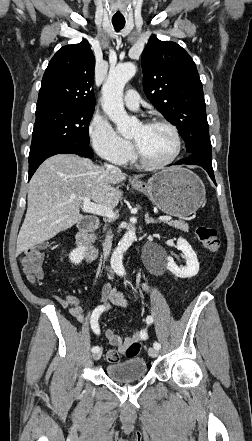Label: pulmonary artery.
I'll return each instance as SVG.
<instances>
[{
	"label": "pulmonary artery",
	"mask_w": 252,
	"mask_h": 441,
	"mask_svg": "<svg viewBox=\"0 0 252 441\" xmlns=\"http://www.w3.org/2000/svg\"><path fill=\"white\" fill-rule=\"evenodd\" d=\"M140 97L136 90L130 89L124 97V104L132 110H137L140 107Z\"/></svg>",
	"instance_id": "pulmonary-artery-1"
}]
</instances>
